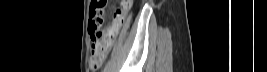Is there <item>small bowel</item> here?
<instances>
[{
	"label": "small bowel",
	"mask_w": 267,
	"mask_h": 72,
	"mask_svg": "<svg viewBox=\"0 0 267 72\" xmlns=\"http://www.w3.org/2000/svg\"><path fill=\"white\" fill-rule=\"evenodd\" d=\"M130 7H131V1L123 0L120 4V8L115 12L112 24H116L118 26V29L120 25L123 23L125 14L130 9Z\"/></svg>",
	"instance_id": "small-bowel-1"
}]
</instances>
